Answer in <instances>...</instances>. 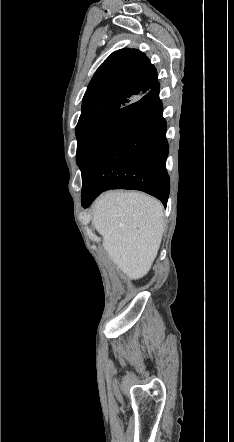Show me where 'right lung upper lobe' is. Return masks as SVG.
<instances>
[{
    "label": "right lung upper lobe",
    "mask_w": 234,
    "mask_h": 442,
    "mask_svg": "<svg viewBox=\"0 0 234 442\" xmlns=\"http://www.w3.org/2000/svg\"><path fill=\"white\" fill-rule=\"evenodd\" d=\"M157 71L137 49L113 52L90 81L80 119L121 108L138 100L157 84Z\"/></svg>",
    "instance_id": "1"
}]
</instances>
